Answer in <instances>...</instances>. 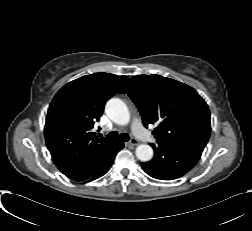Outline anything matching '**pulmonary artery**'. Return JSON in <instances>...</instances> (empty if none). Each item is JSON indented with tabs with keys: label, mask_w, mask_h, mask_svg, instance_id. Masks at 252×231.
Returning <instances> with one entry per match:
<instances>
[{
	"label": "pulmonary artery",
	"mask_w": 252,
	"mask_h": 231,
	"mask_svg": "<svg viewBox=\"0 0 252 231\" xmlns=\"http://www.w3.org/2000/svg\"><path fill=\"white\" fill-rule=\"evenodd\" d=\"M131 129L133 133L142 141L150 142L152 140V136L142 126L140 119L136 118L132 120Z\"/></svg>",
	"instance_id": "1"
}]
</instances>
